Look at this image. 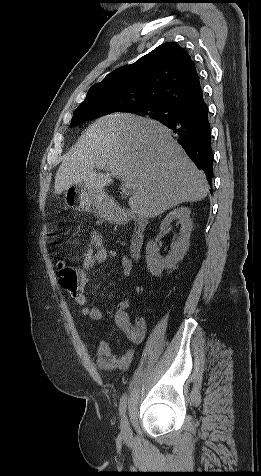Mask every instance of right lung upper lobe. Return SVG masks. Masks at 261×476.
<instances>
[{
	"label": "right lung upper lobe",
	"instance_id": "cb5924a9",
	"mask_svg": "<svg viewBox=\"0 0 261 476\" xmlns=\"http://www.w3.org/2000/svg\"><path fill=\"white\" fill-rule=\"evenodd\" d=\"M199 76L189 54L164 43L131 65L122 66L93 85L83 103L121 105L135 112L149 105L181 109L202 96Z\"/></svg>",
	"mask_w": 261,
	"mask_h": 476
}]
</instances>
